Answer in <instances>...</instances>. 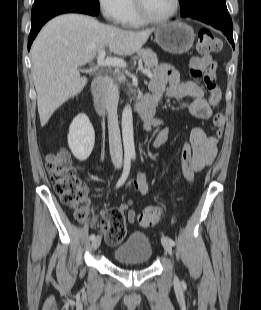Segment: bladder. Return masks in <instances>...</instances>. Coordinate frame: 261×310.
Here are the masks:
<instances>
[{
    "label": "bladder",
    "instance_id": "obj_1",
    "mask_svg": "<svg viewBox=\"0 0 261 310\" xmlns=\"http://www.w3.org/2000/svg\"><path fill=\"white\" fill-rule=\"evenodd\" d=\"M153 255L151 241L147 234L134 231L112 251L113 258L125 264L148 263Z\"/></svg>",
    "mask_w": 261,
    "mask_h": 310
}]
</instances>
